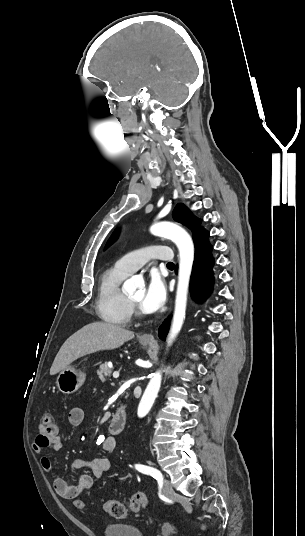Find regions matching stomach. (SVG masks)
I'll use <instances>...</instances> for the list:
<instances>
[{
    "mask_svg": "<svg viewBox=\"0 0 305 536\" xmlns=\"http://www.w3.org/2000/svg\"><path fill=\"white\" fill-rule=\"evenodd\" d=\"M141 344H148V342H142L141 340ZM84 382V372L76 370L73 366H68L66 370H61L56 380L57 388L62 394H74L83 386Z\"/></svg>",
    "mask_w": 305,
    "mask_h": 536,
    "instance_id": "1",
    "label": "stomach"
}]
</instances>
